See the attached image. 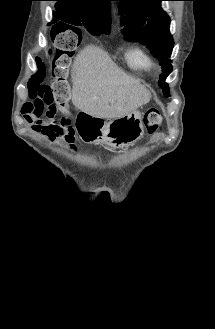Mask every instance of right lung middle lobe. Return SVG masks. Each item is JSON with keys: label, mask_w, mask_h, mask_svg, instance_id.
<instances>
[{"label": "right lung middle lobe", "mask_w": 215, "mask_h": 329, "mask_svg": "<svg viewBox=\"0 0 215 329\" xmlns=\"http://www.w3.org/2000/svg\"><path fill=\"white\" fill-rule=\"evenodd\" d=\"M69 23H67V27L71 30H73L75 32V27H72L68 24H72L75 26H80L81 24H83L90 33H92L93 35H100V34H109L108 31H105L103 29H101L100 27L94 25L91 22H85V20L81 17H70V19L68 20Z\"/></svg>", "instance_id": "dd1d6c3e"}]
</instances>
